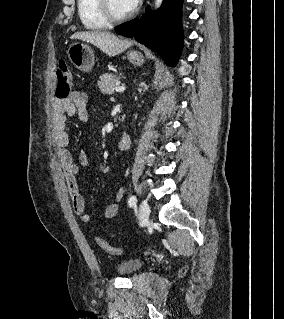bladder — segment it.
Segmentation results:
<instances>
[{
  "label": "bladder",
  "instance_id": "1",
  "mask_svg": "<svg viewBox=\"0 0 284 319\" xmlns=\"http://www.w3.org/2000/svg\"><path fill=\"white\" fill-rule=\"evenodd\" d=\"M144 262L139 258L125 259L116 266V271L120 275H131L141 269Z\"/></svg>",
  "mask_w": 284,
  "mask_h": 319
}]
</instances>
